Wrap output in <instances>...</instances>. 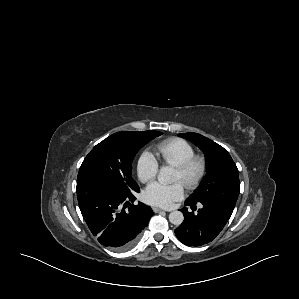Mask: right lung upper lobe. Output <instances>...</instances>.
<instances>
[{"mask_svg":"<svg viewBox=\"0 0 299 299\" xmlns=\"http://www.w3.org/2000/svg\"><path fill=\"white\" fill-rule=\"evenodd\" d=\"M123 134L126 135H132V134H136L137 132H133V131H122Z\"/></svg>","mask_w":299,"mask_h":299,"instance_id":"obj_1","label":"right lung upper lobe"}]
</instances>
